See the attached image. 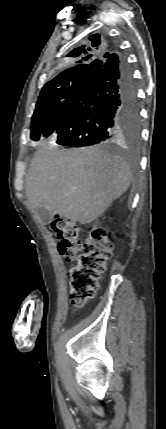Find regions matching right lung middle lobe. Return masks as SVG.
<instances>
[{
    "mask_svg": "<svg viewBox=\"0 0 166 429\" xmlns=\"http://www.w3.org/2000/svg\"><path fill=\"white\" fill-rule=\"evenodd\" d=\"M84 75H76L61 80L40 93L31 121V139L39 141L48 137L58 128L65 110ZM140 124V122H139ZM139 126L121 128L116 137L124 139L130 145L138 143Z\"/></svg>",
    "mask_w": 166,
    "mask_h": 429,
    "instance_id": "right-lung-middle-lobe-1",
    "label": "right lung middle lobe"
}]
</instances>
